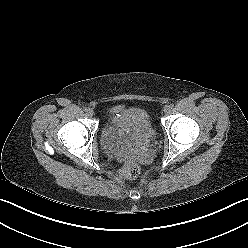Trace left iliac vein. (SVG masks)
Returning <instances> with one entry per match:
<instances>
[{
    "label": "left iliac vein",
    "instance_id": "4c4485c4",
    "mask_svg": "<svg viewBox=\"0 0 248 248\" xmlns=\"http://www.w3.org/2000/svg\"><path fill=\"white\" fill-rule=\"evenodd\" d=\"M163 111L165 114H169L171 111V107L169 105L164 106Z\"/></svg>",
    "mask_w": 248,
    "mask_h": 248
}]
</instances>
